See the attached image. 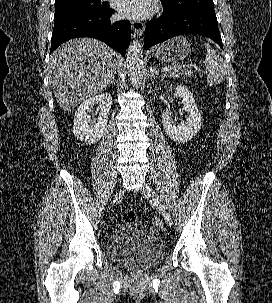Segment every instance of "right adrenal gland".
<instances>
[{"instance_id": "right-adrenal-gland-1", "label": "right adrenal gland", "mask_w": 272, "mask_h": 303, "mask_svg": "<svg viewBox=\"0 0 272 303\" xmlns=\"http://www.w3.org/2000/svg\"><path fill=\"white\" fill-rule=\"evenodd\" d=\"M113 83H115V74L113 75V77H112L111 81L108 83V85H111Z\"/></svg>"}]
</instances>
